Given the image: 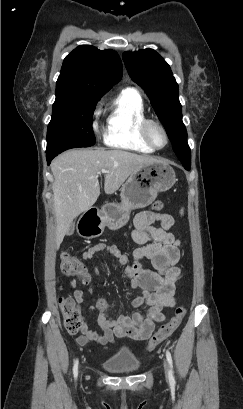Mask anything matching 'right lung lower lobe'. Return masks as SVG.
Masks as SVG:
<instances>
[{
  "label": "right lung lower lobe",
  "mask_w": 243,
  "mask_h": 409,
  "mask_svg": "<svg viewBox=\"0 0 243 409\" xmlns=\"http://www.w3.org/2000/svg\"><path fill=\"white\" fill-rule=\"evenodd\" d=\"M68 148L67 147H64V146H62V145H56V146H54V147H52V148H48L47 150H46V157H47V163H48V165L50 164V162H51V160L55 157V156H57L58 154H60L61 152H63V151H65V150H67Z\"/></svg>",
  "instance_id": "right-lung-lower-lobe-1"
}]
</instances>
